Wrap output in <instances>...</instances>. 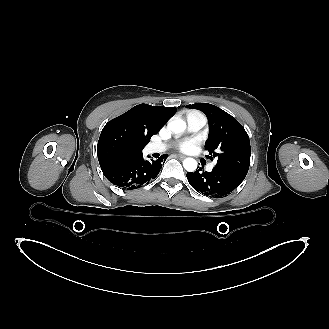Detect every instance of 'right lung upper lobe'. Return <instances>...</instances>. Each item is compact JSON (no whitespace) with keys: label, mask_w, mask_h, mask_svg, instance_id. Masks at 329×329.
Returning a JSON list of instances; mask_svg holds the SVG:
<instances>
[{"label":"right lung upper lobe","mask_w":329,"mask_h":329,"mask_svg":"<svg viewBox=\"0 0 329 329\" xmlns=\"http://www.w3.org/2000/svg\"><path fill=\"white\" fill-rule=\"evenodd\" d=\"M175 107L139 104L109 121L97 145L101 169L126 163L142 156V150L163 124L176 112Z\"/></svg>","instance_id":"1"}]
</instances>
